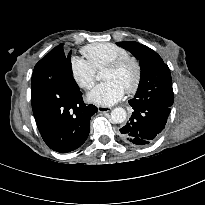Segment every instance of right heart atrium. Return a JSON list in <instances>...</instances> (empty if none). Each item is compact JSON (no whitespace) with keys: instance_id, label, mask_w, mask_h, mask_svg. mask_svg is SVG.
Segmentation results:
<instances>
[{"instance_id":"1","label":"right heart atrium","mask_w":205,"mask_h":205,"mask_svg":"<svg viewBox=\"0 0 205 205\" xmlns=\"http://www.w3.org/2000/svg\"><path fill=\"white\" fill-rule=\"evenodd\" d=\"M70 75L83 90H90L95 83V70L84 59L74 56L70 60Z\"/></svg>"}]
</instances>
